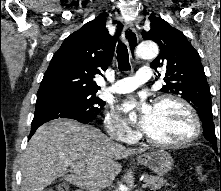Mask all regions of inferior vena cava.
I'll return each instance as SVG.
<instances>
[{"instance_id": "obj_1", "label": "inferior vena cava", "mask_w": 221, "mask_h": 191, "mask_svg": "<svg viewBox=\"0 0 221 191\" xmlns=\"http://www.w3.org/2000/svg\"><path fill=\"white\" fill-rule=\"evenodd\" d=\"M104 187H105L104 182H98L94 184L91 191H102Z\"/></svg>"}]
</instances>
